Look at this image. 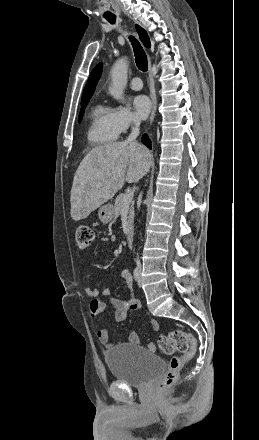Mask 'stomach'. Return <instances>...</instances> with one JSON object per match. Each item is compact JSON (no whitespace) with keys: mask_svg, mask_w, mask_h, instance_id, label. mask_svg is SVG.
I'll return each mask as SVG.
<instances>
[{"mask_svg":"<svg viewBox=\"0 0 259 440\" xmlns=\"http://www.w3.org/2000/svg\"><path fill=\"white\" fill-rule=\"evenodd\" d=\"M99 220L103 224H107L112 221L114 217V207L111 204H106L100 207L98 211Z\"/></svg>","mask_w":259,"mask_h":440,"instance_id":"stomach-1","label":"stomach"}]
</instances>
